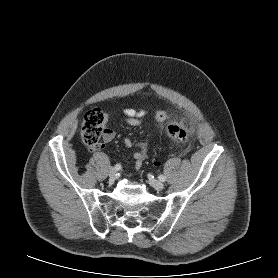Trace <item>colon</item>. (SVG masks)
I'll use <instances>...</instances> for the list:
<instances>
[{"label":"colon","instance_id":"1","mask_svg":"<svg viewBox=\"0 0 278 278\" xmlns=\"http://www.w3.org/2000/svg\"><path fill=\"white\" fill-rule=\"evenodd\" d=\"M104 114L98 109L88 111L83 119L81 136L83 142L91 149L99 146L103 134ZM166 134L169 138L179 141L185 145L189 141V129L184 123H171L166 127Z\"/></svg>","mask_w":278,"mask_h":278}]
</instances>
